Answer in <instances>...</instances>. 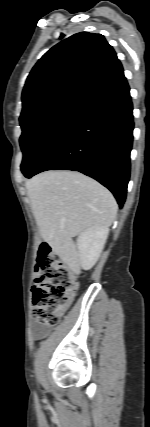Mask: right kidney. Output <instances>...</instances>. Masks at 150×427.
Returning a JSON list of instances; mask_svg holds the SVG:
<instances>
[{"label": "right kidney", "instance_id": "ca27d5eb", "mask_svg": "<svg viewBox=\"0 0 150 427\" xmlns=\"http://www.w3.org/2000/svg\"><path fill=\"white\" fill-rule=\"evenodd\" d=\"M109 234L108 227L92 226L77 238V248L81 267L91 269L98 261Z\"/></svg>", "mask_w": 150, "mask_h": 427}]
</instances>
